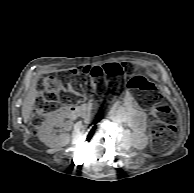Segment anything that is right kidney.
<instances>
[{
    "mask_svg": "<svg viewBox=\"0 0 194 193\" xmlns=\"http://www.w3.org/2000/svg\"><path fill=\"white\" fill-rule=\"evenodd\" d=\"M61 124L62 118L56 113H51L40 127L38 132L39 139L51 148L67 145L70 141V135L68 133L56 135L53 131L54 127H59Z\"/></svg>",
    "mask_w": 194,
    "mask_h": 193,
    "instance_id": "1",
    "label": "right kidney"
}]
</instances>
